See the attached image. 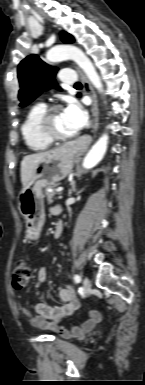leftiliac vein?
<instances>
[{"instance_id": "left-iliac-vein-1", "label": "left iliac vein", "mask_w": 145, "mask_h": 385, "mask_svg": "<svg viewBox=\"0 0 145 385\" xmlns=\"http://www.w3.org/2000/svg\"><path fill=\"white\" fill-rule=\"evenodd\" d=\"M90 287H91V282H90L89 278L88 277H84V279H83L84 291L87 292Z\"/></svg>"}]
</instances>
